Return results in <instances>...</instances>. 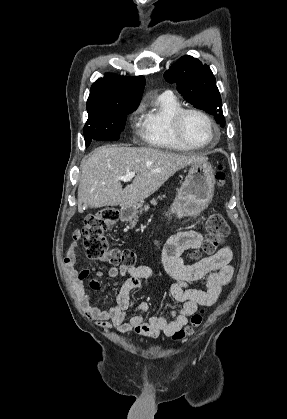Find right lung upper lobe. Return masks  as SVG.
I'll return each mask as SVG.
<instances>
[{"label": "right lung upper lobe", "instance_id": "cb5924a9", "mask_svg": "<svg viewBox=\"0 0 287 419\" xmlns=\"http://www.w3.org/2000/svg\"><path fill=\"white\" fill-rule=\"evenodd\" d=\"M144 86L143 76L129 78L109 74L92 85L87 100V112L89 114L102 109L138 105Z\"/></svg>", "mask_w": 287, "mask_h": 419}]
</instances>
